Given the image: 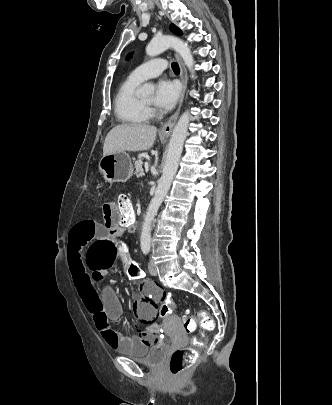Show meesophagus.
<instances>
[{
  "mask_svg": "<svg viewBox=\"0 0 332 405\" xmlns=\"http://www.w3.org/2000/svg\"><path fill=\"white\" fill-rule=\"evenodd\" d=\"M176 58H177V61L179 63L180 69H181L182 92H181L179 107H178L177 111L169 118V120L160 129V134L162 136H168L172 132V129H173V127L178 119L179 113H180V108L182 105L184 93H185L186 86H187L186 68H185L181 58L177 54H176Z\"/></svg>",
  "mask_w": 332,
  "mask_h": 405,
  "instance_id": "1",
  "label": "esophagus"
}]
</instances>
